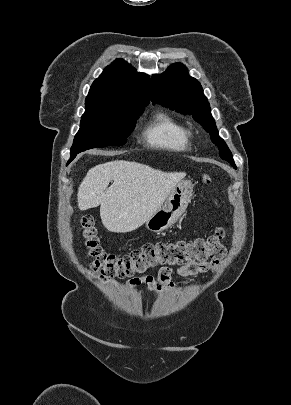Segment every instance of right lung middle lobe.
<instances>
[{
	"instance_id": "1",
	"label": "right lung middle lobe",
	"mask_w": 291,
	"mask_h": 405,
	"mask_svg": "<svg viewBox=\"0 0 291 405\" xmlns=\"http://www.w3.org/2000/svg\"><path fill=\"white\" fill-rule=\"evenodd\" d=\"M144 108H86L82 115L80 129L70 150V161L76 155L94 147L121 146L133 131L136 120Z\"/></svg>"
}]
</instances>
